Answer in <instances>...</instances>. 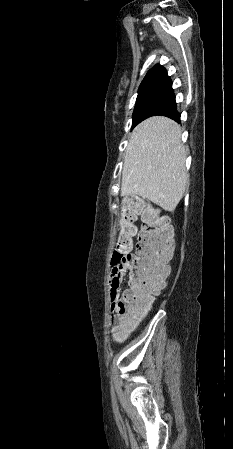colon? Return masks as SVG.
Segmentation results:
<instances>
[{
    "label": "colon",
    "mask_w": 233,
    "mask_h": 449,
    "mask_svg": "<svg viewBox=\"0 0 233 449\" xmlns=\"http://www.w3.org/2000/svg\"><path fill=\"white\" fill-rule=\"evenodd\" d=\"M142 218L141 230L135 225ZM138 237L134 246V238ZM174 240L168 220L159 216L158 209L136 197L122 202L119 232L112 261L130 268L129 288L115 308L117 336L124 337L140 319L152 298L160 291L169 273Z\"/></svg>",
    "instance_id": "colon-1"
}]
</instances>
